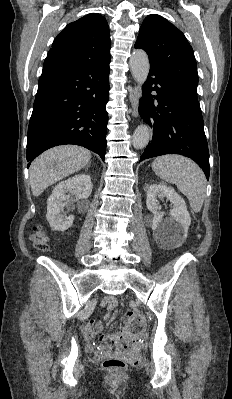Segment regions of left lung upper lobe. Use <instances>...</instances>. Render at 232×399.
Returning a JSON list of instances; mask_svg holds the SVG:
<instances>
[{
	"label": "left lung upper lobe",
	"mask_w": 232,
	"mask_h": 399,
	"mask_svg": "<svg viewBox=\"0 0 232 399\" xmlns=\"http://www.w3.org/2000/svg\"><path fill=\"white\" fill-rule=\"evenodd\" d=\"M135 48L145 50L150 66L164 73L191 103L200 107L194 52L179 29L157 14L149 15L140 27Z\"/></svg>",
	"instance_id": "1"
}]
</instances>
